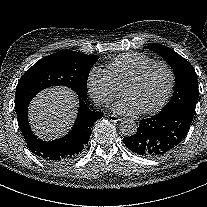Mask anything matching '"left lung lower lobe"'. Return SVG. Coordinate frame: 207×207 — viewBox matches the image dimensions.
Masks as SVG:
<instances>
[{"label": "left lung lower lobe", "mask_w": 207, "mask_h": 207, "mask_svg": "<svg viewBox=\"0 0 207 207\" xmlns=\"http://www.w3.org/2000/svg\"><path fill=\"white\" fill-rule=\"evenodd\" d=\"M193 114L181 108L161 110L140 121L131 137L123 139L133 152L147 158H156L172 151L186 136Z\"/></svg>", "instance_id": "left-lung-lower-lobe-1"}]
</instances>
